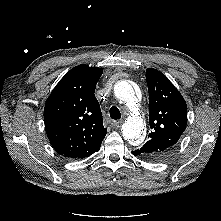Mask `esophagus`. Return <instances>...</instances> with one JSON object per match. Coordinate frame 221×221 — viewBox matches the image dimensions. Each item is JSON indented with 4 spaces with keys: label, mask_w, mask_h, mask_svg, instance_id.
<instances>
[{
    "label": "esophagus",
    "mask_w": 221,
    "mask_h": 221,
    "mask_svg": "<svg viewBox=\"0 0 221 221\" xmlns=\"http://www.w3.org/2000/svg\"><path fill=\"white\" fill-rule=\"evenodd\" d=\"M122 122H123V120L120 119V120L113 121L111 124L113 127H119Z\"/></svg>",
    "instance_id": "34e87169"
}]
</instances>
